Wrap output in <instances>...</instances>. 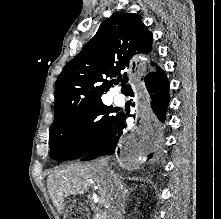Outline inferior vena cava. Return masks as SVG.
<instances>
[{"mask_svg": "<svg viewBox=\"0 0 221 219\" xmlns=\"http://www.w3.org/2000/svg\"><path fill=\"white\" fill-rule=\"evenodd\" d=\"M99 165L104 172H108V173L112 174V171L108 167L107 158H101L99 160ZM110 179L116 180L117 176L111 175ZM114 183H115L114 184L115 186L112 187V190L118 191L119 187L116 186L117 182L115 181ZM115 197H116V199L109 209L108 219H124L123 218V211H124V206H125V201H126V194H125V192H122V193L116 192Z\"/></svg>", "mask_w": 221, "mask_h": 219, "instance_id": "inferior-vena-cava-1", "label": "inferior vena cava"}]
</instances>
